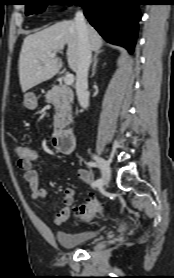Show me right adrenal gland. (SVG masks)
Listing matches in <instances>:
<instances>
[{"label": "right adrenal gland", "instance_id": "2a0ac1e0", "mask_svg": "<svg viewBox=\"0 0 174 278\" xmlns=\"http://www.w3.org/2000/svg\"><path fill=\"white\" fill-rule=\"evenodd\" d=\"M98 55L99 52H96L93 58V66H92V74L91 77H93L96 73V67H97V63H98Z\"/></svg>", "mask_w": 174, "mask_h": 278}]
</instances>
